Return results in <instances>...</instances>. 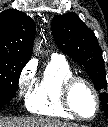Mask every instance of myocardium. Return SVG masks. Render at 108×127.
Returning <instances> with one entry per match:
<instances>
[{
    "mask_svg": "<svg viewBox=\"0 0 108 127\" xmlns=\"http://www.w3.org/2000/svg\"><path fill=\"white\" fill-rule=\"evenodd\" d=\"M78 85H83L86 88H88L94 97L95 110L91 116H83L74 107L72 96H73V92H74L75 88ZM62 102L68 112H70L74 117L82 119V120L93 119L97 115L99 108H100L99 95H98V92H97L96 88L94 87V85L89 80H87L81 76H75V75H73L72 77L67 79L66 82L63 84Z\"/></svg>",
    "mask_w": 108,
    "mask_h": 127,
    "instance_id": "myocardium-1",
    "label": "myocardium"
}]
</instances>
